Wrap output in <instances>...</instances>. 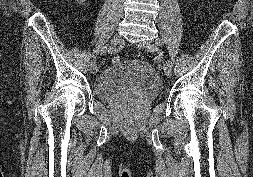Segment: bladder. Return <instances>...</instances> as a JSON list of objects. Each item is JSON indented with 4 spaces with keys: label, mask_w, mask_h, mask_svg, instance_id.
Instances as JSON below:
<instances>
[{
    "label": "bladder",
    "mask_w": 253,
    "mask_h": 177,
    "mask_svg": "<svg viewBox=\"0 0 253 177\" xmlns=\"http://www.w3.org/2000/svg\"><path fill=\"white\" fill-rule=\"evenodd\" d=\"M162 88V82L151 65L125 60L105 68L97 76L93 90L105 101L132 98L150 102L160 95Z\"/></svg>",
    "instance_id": "obj_1"
}]
</instances>
